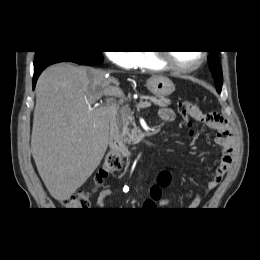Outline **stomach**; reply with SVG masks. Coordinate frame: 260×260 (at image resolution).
I'll return each instance as SVG.
<instances>
[{
    "instance_id": "0dacf381",
    "label": "stomach",
    "mask_w": 260,
    "mask_h": 260,
    "mask_svg": "<svg viewBox=\"0 0 260 260\" xmlns=\"http://www.w3.org/2000/svg\"><path fill=\"white\" fill-rule=\"evenodd\" d=\"M148 90L158 98H164L175 91L173 82L164 76H153L147 80Z\"/></svg>"
}]
</instances>
